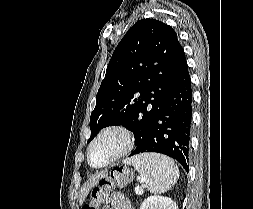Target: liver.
Here are the masks:
<instances>
[{"label":"liver","instance_id":"liver-1","mask_svg":"<svg viewBox=\"0 0 253 209\" xmlns=\"http://www.w3.org/2000/svg\"><path fill=\"white\" fill-rule=\"evenodd\" d=\"M106 175V173H98L92 176L89 181H87L80 190V198H79V204L83 205L85 198L87 197L89 191L92 187H94L101 178H103Z\"/></svg>","mask_w":253,"mask_h":209}]
</instances>
